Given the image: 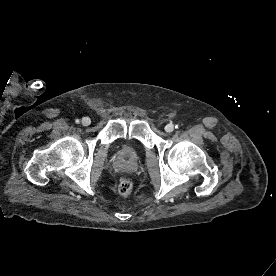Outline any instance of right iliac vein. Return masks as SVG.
<instances>
[{"mask_svg":"<svg viewBox=\"0 0 276 276\" xmlns=\"http://www.w3.org/2000/svg\"><path fill=\"white\" fill-rule=\"evenodd\" d=\"M81 123H82L83 126H88V125H90L91 120H90V118H88V117H84V118L81 120Z\"/></svg>","mask_w":276,"mask_h":276,"instance_id":"63e3f726","label":"right iliac vein"}]
</instances>
